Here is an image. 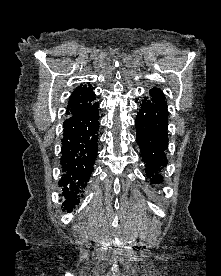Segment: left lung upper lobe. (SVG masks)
<instances>
[{
  "instance_id": "left-lung-upper-lobe-1",
  "label": "left lung upper lobe",
  "mask_w": 221,
  "mask_h": 276,
  "mask_svg": "<svg viewBox=\"0 0 221 276\" xmlns=\"http://www.w3.org/2000/svg\"><path fill=\"white\" fill-rule=\"evenodd\" d=\"M150 96H151L150 100H152L156 104L167 107V103L165 101V96L159 88H155V87L152 88L150 90Z\"/></svg>"
}]
</instances>
